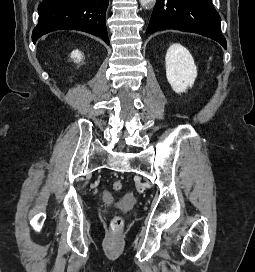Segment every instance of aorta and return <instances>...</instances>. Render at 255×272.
Returning <instances> with one entry per match:
<instances>
[{"instance_id": "obj_1", "label": "aorta", "mask_w": 255, "mask_h": 272, "mask_svg": "<svg viewBox=\"0 0 255 272\" xmlns=\"http://www.w3.org/2000/svg\"><path fill=\"white\" fill-rule=\"evenodd\" d=\"M156 0H140L142 6L153 4Z\"/></svg>"}]
</instances>
